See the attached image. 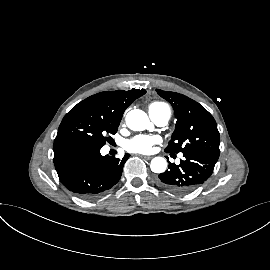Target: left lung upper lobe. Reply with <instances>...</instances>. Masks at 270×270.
<instances>
[{"instance_id":"5c2ea615","label":"left lung upper lobe","mask_w":270,"mask_h":270,"mask_svg":"<svg viewBox=\"0 0 270 270\" xmlns=\"http://www.w3.org/2000/svg\"><path fill=\"white\" fill-rule=\"evenodd\" d=\"M173 107L177 119L166 152L197 153L218 160L219 132L213 116L199 103L176 92L156 89Z\"/></svg>"}]
</instances>
